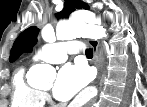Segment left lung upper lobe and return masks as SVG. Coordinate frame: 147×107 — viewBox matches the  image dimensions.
I'll return each mask as SVG.
<instances>
[{
  "label": "left lung upper lobe",
  "instance_id": "obj_1",
  "mask_svg": "<svg viewBox=\"0 0 147 107\" xmlns=\"http://www.w3.org/2000/svg\"><path fill=\"white\" fill-rule=\"evenodd\" d=\"M89 9V6L81 0H66L64 9L57 13V17H68L69 14L76 9ZM39 29L31 26L24 30L15 40L11 54L10 62H14L22 52H29L37 42Z\"/></svg>",
  "mask_w": 147,
  "mask_h": 107
}]
</instances>
